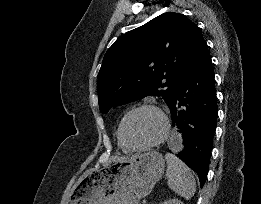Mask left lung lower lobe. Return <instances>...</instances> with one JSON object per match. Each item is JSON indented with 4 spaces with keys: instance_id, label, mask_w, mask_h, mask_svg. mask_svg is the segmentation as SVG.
Instances as JSON below:
<instances>
[{
    "instance_id": "obj_1",
    "label": "left lung lower lobe",
    "mask_w": 261,
    "mask_h": 204,
    "mask_svg": "<svg viewBox=\"0 0 261 204\" xmlns=\"http://www.w3.org/2000/svg\"><path fill=\"white\" fill-rule=\"evenodd\" d=\"M169 109L176 132L173 150L197 173L203 187L209 170L218 107L211 56L200 31L181 71Z\"/></svg>"
}]
</instances>
